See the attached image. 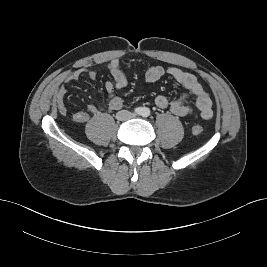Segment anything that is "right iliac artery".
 I'll return each instance as SVG.
<instances>
[{
	"instance_id": "obj_1",
	"label": "right iliac artery",
	"mask_w": 267,
	"mask_h": 267,
	"mask_svg": "<svg viewBox=\"0 0 267 267\" xmlns=\"http://www.w3.org/2000/svg\"><path fill=\"white\" fill-rule=\"evenodd\" d=\"M135 113L136 114H141L142 113V109L141 108H136L135 109Z\"/></svg>"
}]
</instances>
